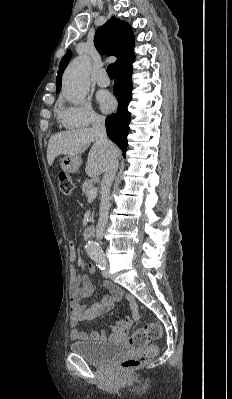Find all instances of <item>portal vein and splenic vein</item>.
<instances>
[{"mask_svg": "<svg viewBox=\"0 0 232 399\" xmlns=\"http://www.w3.org/2000/svg\"><path fill=\"white\" fill-rule=\"evenodd\" d=\"M97 196V188H93V190H89L88 198H95Z\"/></svg>", "mask_w": 232, "mask_h": 399, "instance_id": "18ae733b", "label": "portal vein and splenic vein"}]
</instances>
